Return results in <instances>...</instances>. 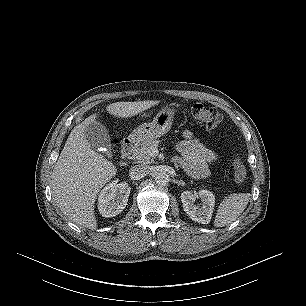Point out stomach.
<instances>
[{
  "mask_svg": "<svg viewBox=\"0 0 306 306\" xmlns=\"http://www.w3.org/2000/svg\"><path fill=\"white\" fill-rule=\"evenodd\" d=\"M175 109L164 108L154 117L151 123L138 126L129 138L137 144H147L166 134L172 126Z\"/></svg>",
  "mask_w": 306,
  "mask_h": 306,
  "instance_id": "1",
  "label": "stomach"
}]
</instances>
